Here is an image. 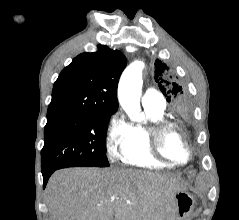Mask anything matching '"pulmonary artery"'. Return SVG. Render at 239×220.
<instances>
[{
  "label": "pulmonary artery",
  "mask_w": 239,
  "mask_h": 220,
  "mask_svg": "<svg viewBox=\"0 0 239 220\" xmlns=\"http://www.w3.org/2000/svg\"><path fill=\"white\" fill-rule=\"evenodd\" d=\"M143 106L165 109L166 101L164 96L155 88H147L142 97Z\"/></svg>",
  "instance_id": "e3ab8cb5"
}]
</instances>
